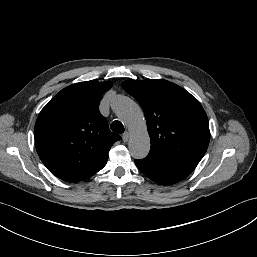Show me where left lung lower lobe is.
<instances>
[{"label":"left lung lower lobe","mask_w":257,"mask_h":257,"mask_svg":"<svg viewBox=\"0 0 257 257\" xmlns=\"http://www.w3.org/2000/svg\"><path fill=\"white\" fill-rule=\"evenodd\" d=\"M137 168L151 180L171 185L186 178L197 166L195 161L160 162L151 159L135 160Z\"/></svg>","instance_id":"left-lung-lower-lobe-1"}]
</instances>
